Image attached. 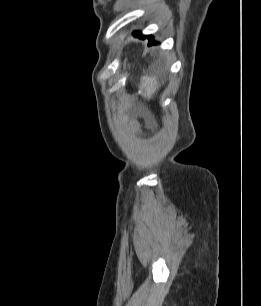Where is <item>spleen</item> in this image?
I'll use <instances>...</instances> for the list:
<instances>
[{"mask_svg":"<svg viewBox=\"0 0 261 306\" xmlns=\"http://www.w3.org/2000/svg\"><path fill=\"white\" fill-rule=\"evenodd\" d=\"M140 87L145 90L144 96L147 98H151V96L156 92L159 88L156 77H147L144 76L141 79Z\"/></svg>","mask_w":261,"mask_h":306,"instance_id":"3e777b00","label":"spleen"}]
</instances>
